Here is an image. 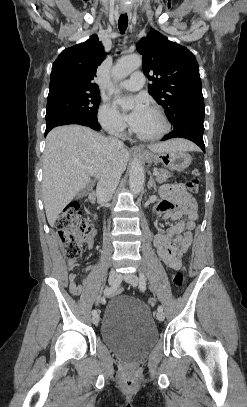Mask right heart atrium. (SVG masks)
<instances>
[{
    "mask_svg": "<svg viewBox=\"0 0 247 407\" xmlns=\"http://www.w3.org/2000/svg\"><path fill=\"white\" fill-rule=\"evenodd\" d=\"M99 124L109 133L122 135L125 130V124L107 102H102L97 111Z\"/></svg>",
    "mask_w": 247,
    "mask_h": 407,
    "instance_id": "1",
    "label": "right heart atrium"
}]
</instances>
